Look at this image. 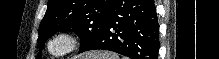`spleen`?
<instances>
[{
	"mask_svg": "<svg viewBox=\"0 0 219 59\" xmlns=\"http://www.w3.org/2000/svg\"><path fill=\"white\" fill-rule=\"evenodd\" d=\"M107 57H108V56H106V55L103 56V58H106V59H107Z\"/></svg>",
	"mask_w": 219,
	"mask_h": 59,
	"instance_id": "obj_1",
	"label": "spleen"
}]
</instances>
